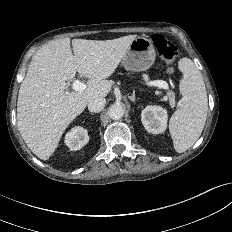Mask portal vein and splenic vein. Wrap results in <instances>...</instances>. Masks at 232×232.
I'll return each mask as SVG.
<instances>
[{"label":"portal vein and splenic vein","mask_w":232,"mask_h":232,"mask_svg":"<svg viewBox=\"0 0 232 232\" xmlns=\"http://www.w3.org/2000/svg\"><path fill=\"white\" fill-rule=\"evenodd\" d=\"M150 86H155V87H159V88H162V89H165L167 90L169 88L167 82L165 81H162V80H157V81H154V82H151V83H148ZM86 84L81 82L80 80H75L73 83H72V89L74 91H84L86 89Z\"/></svg>","instance_id":"18ae733b"}]
</instances>
